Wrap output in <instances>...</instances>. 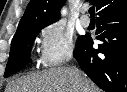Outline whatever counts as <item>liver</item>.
I'll use <instances>...</instances> for the list:
<instances>
[{
	"label": "liver",
	"mask_w": 127,
	"mask_h": 92,
	"mask_svg": "<svg viewBox=\"0 0 127 92\" xmlns=\"http://www.w3.org/2000/svg\"><path fill=\"white\" fill-rule=\"evenodd\" d=\"M5 92H101V90L82 71L58 67L18 78L7 85Z\"/></svg>",
	"instance_id": "liver-1"
}]
</instances>
